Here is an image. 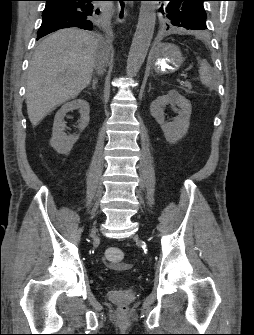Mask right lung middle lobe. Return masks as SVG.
<instances>
[{
	"label": "right lung middle lobe",
	"instance_id": "dd1d6c3e",
	"mask_svg": "<svg viewBox=\"0 0 254 335\" xmlns=\"http://www.w3.org/2000/svg\"><path fill=\"white\" fill-rule=\"evenodd\" d=\"M100 10L96 9L94 15L92 16L93 20L96 21L99 18Z\"/></svg>",
	"mask_w": 254,
	"mask_h": 335
}]
</instances>
